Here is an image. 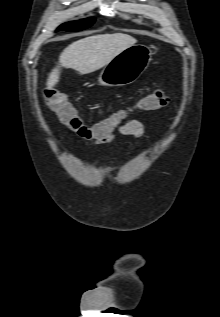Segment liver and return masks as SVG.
<instances>
[{
	"label": "liver",
	"mask_w": 220,
	"mask_h": 317,
	"mask_svg": "<svg viewBox=\"0 0 220 317\" xmlns=\"http://www.w3.org/2000/svg\"><path fill=\"white\" fill-rule=\"evenodd\" d=\"M136 42L134 37L123 33L93 35L75 41L61 53L58 65L50 72L46 85L52 88L58 83L61 68H71L81 74L94 72Z\"/></svg>",
	"instance_id": "obj_1"
}]
</instances>
